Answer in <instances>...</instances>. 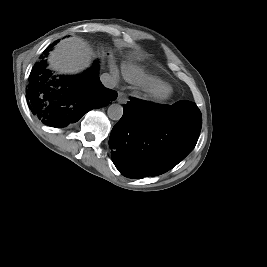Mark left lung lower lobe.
<instances>
[{
    "mask_svg": "<svg viewBox=\"0 0 267 267\" xmlns=\"http://www.w3.org/2000/svg\"><path fill=\"white\" fill-rule=\"evenodd\" d=\"M113 127L109 147L116 168L126 177L163 174L194 148L202 126L197 105L156 104L130 98Z\"/></svg>",
    "mask_w": 267,
    "mask_h": 267,
    "instance_id": "obj_1",
    "label": "left lung lower lobe"
}]
</instances>
